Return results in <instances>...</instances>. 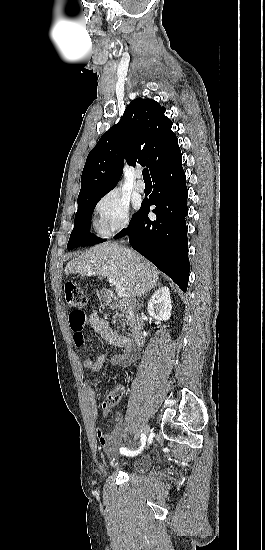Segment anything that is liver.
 <instances>
[{"instance_id":"liver-1","label":"liver","mask_w":265,"mask_h":550,"mask_svg":"<svg viewBox=\"0 0 265 550\" xmlns=\"http://www.w3.org/2000/svg\"><path fill=\"white\" fill-rule=\"evenodd\" d=\"M65 274L111 277L121 283L125 296H142L159 282L158 269L136 251L117 243L106 242L96 245L71 259ZM95 272V275H89Z\"/></svg>"}]
</instances>
